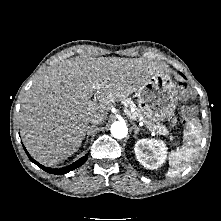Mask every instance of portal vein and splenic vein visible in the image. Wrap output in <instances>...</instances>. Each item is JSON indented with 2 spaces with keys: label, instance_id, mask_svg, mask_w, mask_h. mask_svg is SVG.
I'll list each match as a JSON object with an SVG mask.
<instances>
[{
  "label": "portal vein and splenic vein",
  "instance_id": "1",
  "mask_svg": "<svg viewBox=\"0 0 221 221\" xmlns=\"http://www.w3.org/2000/svg\"><path fill=\"white\" fill-rule=\"evenodd\" d=\"M124 111H125V113H126L130 118L133 119V117H132V115H131V113H130V111H129L128 109H124Z\"/></svg>",
  "mask_w": 221,
  "mask_h": 221
}]
</instances>
